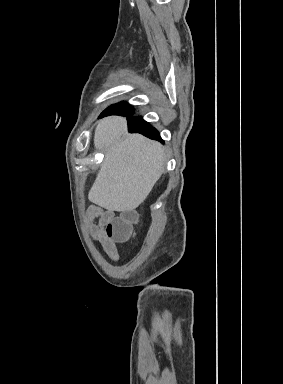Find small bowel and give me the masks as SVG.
Masks as SVG:
<instances>
[{
  "label": "small bowel",
  "mask_w": 283,
  "mask_h": 384,
  "mask_svg": "<svg viewBox=\"0 0 283 384\" xmlns=\"http://www.w3.org/2000/svg\"><path fill=\"white\" fill-rule=\"evenodd\" d=\"M115 218V214L112 211L91 206L88 209L86 220L91 237L101 244L108 257L113 261L118 259V252L116 249V240L108 235V226Z\"/></svg>",
  "instance_id": "obj_1"
}]
</instances>
